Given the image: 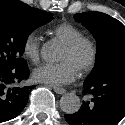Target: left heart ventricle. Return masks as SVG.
Segmentation results:
<instances>
[{
	"label": "left heart ventricle",
	"instance_id": "b2bd125f",
	"mask_svg": "<svg viewBox=\"0 0 125 125\" xmlns=\"http://www.w3.org/2000/svg\"><path fill=\"white\" fill-rule=\"evenodd\" d=\"M89 56L88 48L85 46L80 47L77 51L71 52L63 47L60 54V60L70 61L74 67L79 70L87 61Z\"/></svg>",
	"mask_w": 125,
	"mask_h": 125
}]
</instances>
